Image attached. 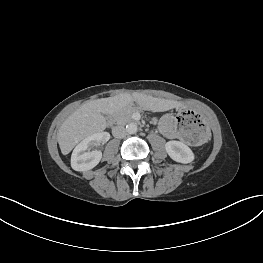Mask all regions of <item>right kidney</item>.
Returning a JSON list of instances; mask_svg holds the SVG:
<instances>
[{"instance_id": "1", "label": "right kidney", "mask_w": 263, "mask_h": 263, "mask_svg": "<svg viewBox=\"0 0 263 263\" xmlns=\"http://www.w3.org/2000/svg\"><path fill=\"white\" fill-rule=\"evenodd\" d=\"M110 138L109 133L100 132L86 137L73 150L71 167L75 171H87L94 168L101 160L102 153L92 150L94 146L106 143Z\"/></svg>"}]
</instances>
